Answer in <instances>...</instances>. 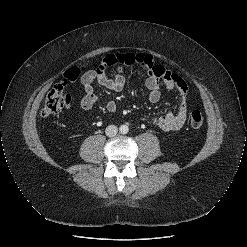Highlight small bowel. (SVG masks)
<instances>
[{"label": "small bowel", "mask_w": 247, "mask_h": 247, "mask_svg": "<svg viewBox=\"0 0 247 247\" xmlns=\"http://www.w3.org/2000/svg\"><path fill=\"white\" fill-rule=\"evenodd\" d=\"M135 64L140 65L148 74L145 85L148 89V98L152 103L158 102L161 97V81L168 89L175 90L179 99L176 112H168L162 116L150 117L148 120L164 131L180 130L187 117V84L178 74L166 69L162 65L155 64L153 57L146 53L108 54L97 69L85 72L81 76V83L85 90V96L80 101L81 107L88 110L99 101V97L93 87L94 82L111 91L120 92L126 82L123 75L124 67ZM109 67H116L117 69L113 78H109L106 74ZM104 106L110 113H114L117 108L113 100L105 101Z\"/></svg>", "instance_id": "c3829d8e"}]
</instances>
